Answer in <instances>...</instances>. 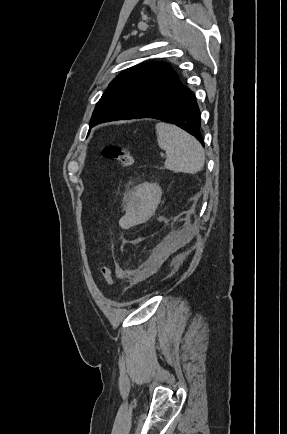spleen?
Wrapping results in <instances>:
<instances>
[{"label":"spleen","instance_id":"spleen-1","mask_svg":"<svg viewBox=\"0 0 287 434\" xmlns=\"http://www.w3.org/2000/svg\"><path fill=\"white\" fill-rule=\"evenodd\" d=\"M155 128L158 145L166 152V169L189 174L201 171L205 153L193 136L168 123H157Z\"/></svg>","mask_w":287,"mask_h":434}]
</instances>
